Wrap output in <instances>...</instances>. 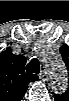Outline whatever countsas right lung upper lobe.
Here are the masks:
<instances>
[{"label":"right lung upper lobe","instance_id":"1","mask_svg":"<svg viewBox=\"0 0 69 101\" xmlns=\"http://www.w3.org/2000/svg\"><path fill=\"white\" fill-rule=\"evenodd\" d=\"M8 54L7 61L1 64V93L7 98L21 100L28 84L38 80V76L24 71L26 59L21 55H14L10 48L4 52Z\"/></svg>","mask_w":69,"mask_h":101}]
</instances>
